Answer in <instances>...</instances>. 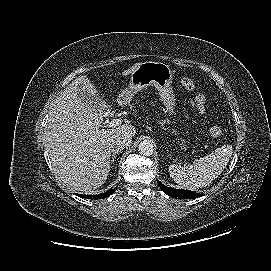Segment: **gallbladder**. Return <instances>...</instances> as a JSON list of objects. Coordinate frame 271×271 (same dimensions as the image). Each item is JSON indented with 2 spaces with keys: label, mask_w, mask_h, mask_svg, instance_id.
<instances>
[{
  "label": "gallbladder",
  "mask_w": 271,
  "mask_h": 271,
  "mask_svg": "<svg viewBox=\"0 0 271 271\" xmlns=\"http://www.w3.org/2000/svg\"><path fill=\"white\" fill-rule=\"evenodd\" d=\"M77 95L82 103L102 115L112 112L111 106L103 98L87 92L82 86H78Z\"/></svg>",
  "instance_id": "bac80fb5"
}]
</instances>
